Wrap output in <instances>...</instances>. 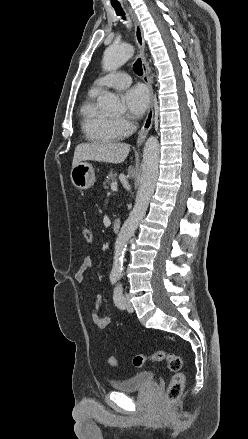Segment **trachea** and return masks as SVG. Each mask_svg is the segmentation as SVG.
<instances>
[{
	"mask_svg": "<svg viewBox=\"0 0 248 439\" xmlns=\"http://www.w3.org/2000/svg\"><path fill=\"white\" fill-rule=\"evenodd\" d=\"M113 7L116 11V14L122 16L125 19V13H124L123 9L121 8V6L117 5V4H113ZM133 70L139 76H141L143 74L142 62H141L140 58L134 63Z\"/></svg>",
	"mask_w": 248,
	"mask_h": 439,
	"instance_id": "1",
	"label": "trachea"
}]
</instances>
